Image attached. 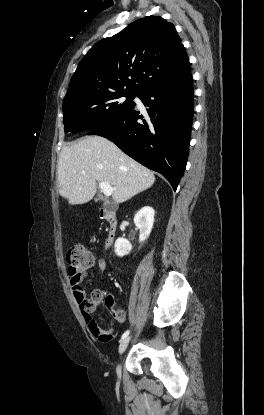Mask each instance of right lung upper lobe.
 Masks as SVG:
<instances>
[{
	"mask_svg": "<svg viewBox=\"0 0 264 415\" xmlns=\"http://www.w3.org/2000/svg\"><path fill=\"white\" fill-rule=\"evenodd\" d=\"M190 72L188 55L174 25L159 16H148L90 49L74 72L65 99L119 91L139 95Z\"/></svg>",
	"mask_w": 264,
	"mask_h": 415,
	"instance_id": "1",
	"label": "right lung upper lobe"
}]
</instances>
